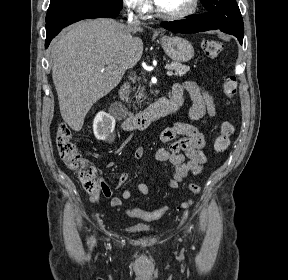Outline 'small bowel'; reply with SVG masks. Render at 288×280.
I'll return each mask as SVG.
<instances>
[{"mask_svg": "<svg viewBox=\"0 0 288 280\" xmlns=\"http://www.w3.org/2000/svg\"><path fill=\"white\" fill-rule=\"evenodd\" d=\"M188 93L192 100V106L189 109V121L177 122L170 127L163 129L159 139L162 146L156 151L155 158L160 163L170 164L174 171L171 178L166 183L169 189H176L179 183L183 182L189 175H198L204 169L207 163V157L203 152L206 146L204 135L195 126V122L205 115L213 116L216 113L215 104L211 96L205 93L195 82L187 81L183 84H177L173 87L172 97L184 101V95ZM181 136L180 138H177ZM145 155L143 147H137L132 153L133 159H141ZM113 162L108 164L112 167ZM128 180V175L122 173L114 187L108 186L103 180L102 193L110 198L112 207H119L123 200H128L132 196V190L126 188L121 197L114 196V192L120 189ZM135 190L140 194L147 196L149 187L145 183H138ZM91 201L96 202L99 195L91 196Z\"/></svg>", "mask_w": 288, "mask_h": 280, "instance_id": "c3829d8e", "label": "small bowel"}]
</instances>
